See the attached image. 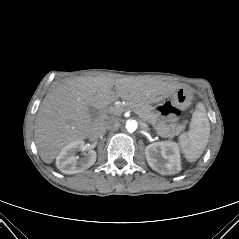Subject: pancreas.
<instances>
[{
	"label": "pancreas",
	"instance_id": "cf45deb5",
	"mask_svg": "<svg viewBox=\"0 0 239 239\" xmlns=\"http://www.w3.org/2000/svg\"><path fill=\"white\" fill-rule=\"evenodd\" d=\"M126 108L132 109L139 117L151 124L157 134L164 138H172L178 135L184 128V124L169 123L164 119H160V114L153 112L154 107L147 103H126Z\"/></svg>",
	"mask_w": 239,
	"mask_h": 239
}]
</instances>
